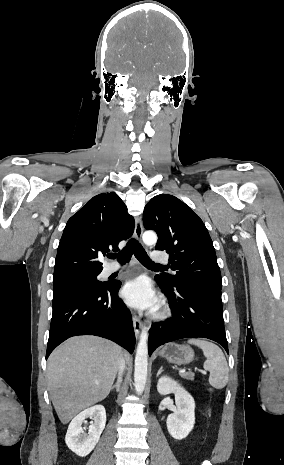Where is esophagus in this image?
Here are the masks:
<instances>
[{
    "mask_svg": "<svg viewBox=\"0 0 284 465\" xmlns=\"http://www.w3.org/2000/svg\"><path fill=\"white\" fill-rule=\"evenodd\" d=\"M142 234H143L142 220H141V217H137L136 222H135V230H134L135 239L137 241L141 240ZM133 326H134L135 335L136 337H138L142 329V323H141L140 318H138L136 315L133 316Z\"/></svg>",
    "mask_w": 284,
    "mask_h": 465,
    "instance_id": "34e87169",
    "label": "esophagus"
}]
</instances>
